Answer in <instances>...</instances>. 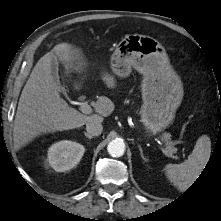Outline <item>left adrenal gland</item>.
Returning <instances> with one entry per match:
<instances>
[{
	"instance_id": "left-adrenal-gland-1",
	"label": "left adrenal gland",
	"mask_w": 221,
	"mask_h": 221,
	"mask_svg": "<svg viewBox=\"0 0 221 221\" xmlns=\"http://www.w3.org/2000/svg\"><path fill=\"white\" fill-rule=\"evenodd\" d=\"M138 147H139L140 155H141L142 159H143L145 162H147V159H146V157H145L144 154H143V150H142L141 146L139 145Z\"/></svg>"
}]
</instances>
